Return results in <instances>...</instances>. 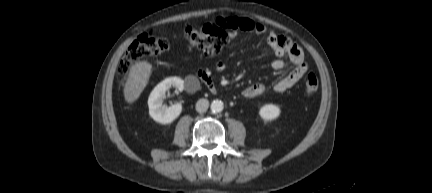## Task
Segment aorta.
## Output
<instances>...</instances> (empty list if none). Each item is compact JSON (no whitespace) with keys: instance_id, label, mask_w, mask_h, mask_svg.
<instances>
[{"instance_id":"762f6f07","label":"aorta","mask_w":432,"mask_h":193,"mask_svg":"<svg viewBox=\"0 0 432 193\" xmlns=\"http://www.w3.org/2000/svg\"><path fill=\"white\" fill-rule=\"evenodd\" d=\"M210 108H211L212 112L219 113L223 110L224 105H223V102L221 100L217 99V100L212 101Z\"/></svg>"}]
</instances>
